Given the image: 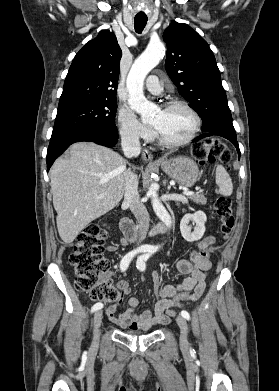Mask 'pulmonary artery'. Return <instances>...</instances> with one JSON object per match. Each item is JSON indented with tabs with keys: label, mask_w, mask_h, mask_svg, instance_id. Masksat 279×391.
Segmentation results:
<instances>
[{
	"label": "pulmonary artery",
	"mask_w": 279,
	"mask_h": 391,
	"mask_svg": "<svg viewBox=\"0 0 279 391\" xmlns=\"http://www.w3.org/2000/svg\"><path fill=\"white\" fill-rule=\"evenodd\" d=\"M146 89L152 94H160L162 92L161 82L156 75H151L148 77L146 82Z\"/></svg>",
	"instance_id": "e3ab8cb5"
}]
</instances>
